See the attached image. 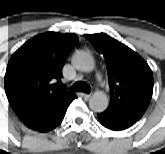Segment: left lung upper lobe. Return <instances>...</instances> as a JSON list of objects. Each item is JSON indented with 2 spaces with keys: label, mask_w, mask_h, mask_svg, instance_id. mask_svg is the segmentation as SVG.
Returning <instances> with one entry per match:
<instances>
[{
  "label": "left lung upper lobe",
  "mask_w": 165,
  "mask_h": 154,
  "mask_svg": "<svg viewBox=\"0 0 165 154\" xmlns=\"http://www.w3.org/2000/svg\"><path fill=\"white\" fill-rule=\"evenodd\" d=\"M84 36L106 59L111 99L105 112L138 121L153 93L150 67L136 52L104 33Z\"/></svg>",
  "instance_id": "obj_1"
}]
</instances>
